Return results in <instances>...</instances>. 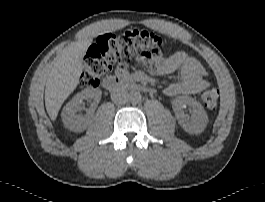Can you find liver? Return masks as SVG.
Wrapping results in <instances>:
<instances>
[{
	"instance_id": "obj_1",
	"label": "liver",
	"mask_w": 265,
	"mask_h": 202,
	"mask_svg": "<svg viewBox=\"0 0 265 202\" xmlns=\"http://www.w3.org/2000/svg\"><path fill=\"white\" fill-rule=\"evenodd\" d=\"M92 40L86 39L71 43L57 55L45 88V106L52 121L57 118L58 112L79 84L83 71V58Z\"/></svg>"
}]
</instances>
